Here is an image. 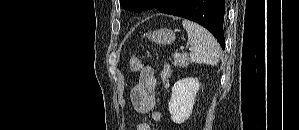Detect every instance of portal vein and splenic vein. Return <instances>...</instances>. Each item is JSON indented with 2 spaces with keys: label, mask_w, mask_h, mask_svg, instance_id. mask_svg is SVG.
I'll list each match as a JSON object with an SVG mask.
<instances>
[{
  "label": "portal vein and splenic vein",
  "mask_w": 299,
  "mask_h": 130,
  "mask_svg": "<svg viewBox=\"0 0 299 130\" xmlns=\"http://www.w3.org/2000/svg\"><path fill=\"white\" fill-rule=\"evenodd\" d=\"M174 56H175V57H178V56H180V53L176 52V53L174 54Z\"/></svg>",
  "instance_id": "portal-vein-and-splenic-vein-1"
}]
</instances>
